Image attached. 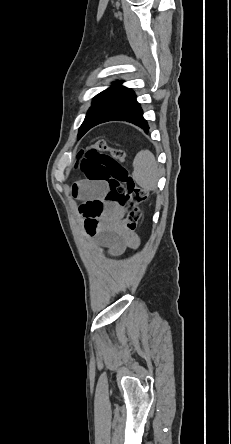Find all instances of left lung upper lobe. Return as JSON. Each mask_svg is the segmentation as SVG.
Returning <instances> with one entry per match:
<instances>
[{
	"label": "left lung upper lobe",
	"instance_id": "1",
	"mask_svg": "<svg viewBox=\"0 0 231 444\" xmlns=\"http://www.w3.org/2000/svg\"><path fill=\"white\" fill-rule=\"evenodd\" d=\"M120 84L121 82L113 83L114 86L109 87L93 98L92 106L79 128V138L89 130L92 124L116 115L124 104L135 95L131 89Z\"/></svg>",
	"mask_w": 231,
	"mask_h": 444
}]
</instances>
